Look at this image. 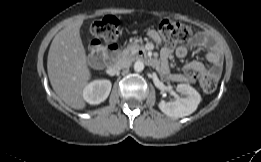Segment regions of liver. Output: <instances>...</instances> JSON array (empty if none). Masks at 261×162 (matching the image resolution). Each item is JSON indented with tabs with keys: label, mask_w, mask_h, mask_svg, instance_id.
<instances>
[{
	"label": "liver",
	"mask_w": 261,
	"mask_h": 162,
	"mask_svg": "<svg viewBox=\"0 0 261 162\" xmlns=\"http://www.w3.org/2000/svg\"><path fill=\"white\" fill-rule=\"evenodd\" d=\"M82 19L69 23L54 37L47 59V71L53 90L74 109H83L84 87L91 79L86 51L80 37Z\"/></svg>",
	"instance_id": "liver-1"
}]
</instances>
